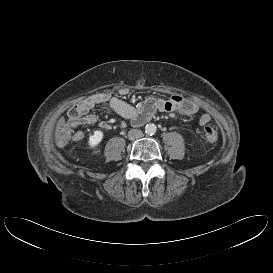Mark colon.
Here are the masks:
<instances>
[{"instance_id":"obj_1","label":"colon","mask_w":273,"mask_h":273,"mask_svg":"<svg viewBox=\"0 0 273 273\" xmlns=\"http://www.w3.org/2000/svg\"><path fill=\"white\" fill-rule=\"evenodd\" d=\"M204 135L211 143L218 141V131L214 125H206L204 127ZM72 137L71 126L65 120L61 119L56 128V140L59 144L68 142Z\"/></svg>"}]
</instances>
